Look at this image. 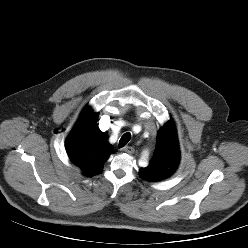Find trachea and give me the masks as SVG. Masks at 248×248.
Listing matches in <instances>:
<instances>
[{"instance_id":"3493384b","label":"trachea","mask_w":248,"mask_h":248,"mask_svg":"<svg viewBox=\"0 0 248 248\" xmlns=\"http://www.w3.org/2000/svg\"><path fill=\"white\" fill-rule=\"evenodd\" d=\"M130 139H131V134L125 133L119 141V148L124 147L130 141Z\"/></svg>"}]
</instances>
